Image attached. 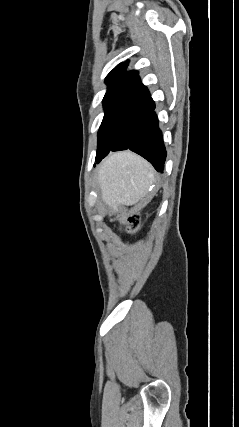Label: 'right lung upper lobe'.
Here are the masks:
<instances>
[{
	"label": "right lung upper lobe",
	"instance_id": "cb5924a9",
	"mask_svg": "<svg viewBox=\"0 0 239 427\" xmlns=\"http://www.w3.org/2000/svg\"><path fill=\"white\" fill-rule=\"evenodd\" d=\"M128 62L116 66L106 77L107 92L103 100L136 98L150 100L147 88L141 83L137 71L125 72Z\"/></svg>",
	"mask_w": 239,
	"mask_h": 427
}]
</instances>
